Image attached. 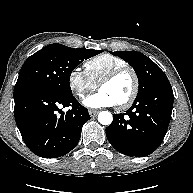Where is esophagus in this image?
<instances>
[{"mask_svg": "<svg viewBox=\"0 0 193 193\" xmlns=\"http://www.w3.org/2000/svg\"><path fill=\"white\" fill-rule=\"evenodd\" d=\"M98 112H99V111H97V110H89V115H90L91 117H95V116L98 114Z\"/></svg>", "mask_w": 193, "mask_h": 193, "instance_id": "obj_1", "label": "esophagus"}]
</instances>
